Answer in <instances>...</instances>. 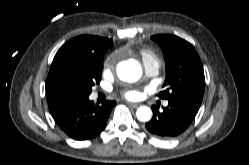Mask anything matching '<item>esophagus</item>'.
<instances>
[{
  "label": "esophagus",
  "mask_w": 249,
  "mask_h": 165,
  "mask_svg": "<svg viewBox=\"0 0 249 165\" xmlns=\"http://www.w3.org/2000/svg\"><path fill=\"white\" fill-rule=\"evenodd\" d=\"M127 105L132 107V108H137L139 107V104L138 103H131V102H127Z\"/></svg>",
  "instance_id": "obj_1"
}]
</instances>
